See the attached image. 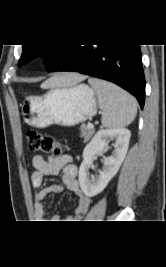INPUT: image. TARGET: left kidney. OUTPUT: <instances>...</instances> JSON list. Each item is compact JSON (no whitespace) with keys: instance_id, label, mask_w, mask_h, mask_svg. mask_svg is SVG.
<instances>
[{"instance_id":"left-kidney-1","label":"left kidney","mask_w":166,"mask_h":267,"mask_svg":"<svg viewBox=\"0 0 166 267\" xmlns=\"http://www.w3.org/2000/svg\"><path fill=\"white\" fill-rule=\"evenodd\" d=\"M131 133L125 128L99 130L83 151V162L79 168V184L88 197L102 192L109 181L118 172L128 150ZM115 139L114 150L111 156L103 157V168L98 177L90 179L89 169L96 155L103 153L107 148V141Z\"/></svg>"}]
</instances>
